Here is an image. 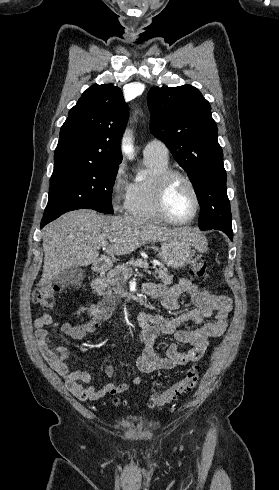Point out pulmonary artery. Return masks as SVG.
Wrapping results in <instances>:
<instances>
[{
	"label": "pulmonary artery",
	"mask_w": 279,
	"mask_h": 490,
	"mask_svg": "<svg viewBox=\"0 0 279 490\" xmlns=\"http://www.w3.org/2000/svg\"><path fill=\"white\" fill-rule=\"evenodd\" d=\"M144 157H156L160 159H169V150L164 141L153 138L147 142L143 149Z\"/></svg>",
	"instance_id": "1"
}]
</instances>
